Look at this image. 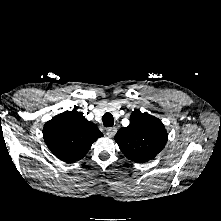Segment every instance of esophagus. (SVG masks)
I'll list each match as a JSON object with an SVG mask.
<instances>
[{
	"label": "esophagus",
	"mask_w": 221,
	"mask_h": 221,
	"mask_svg": "<svg viewBox=\"0 0 221 221\" xmlns=\"http://www.w3.org/2000/svg\"><path fill=\"white\" fill-rule=\"evenodd\" d=\"M116 132H117L116 128H108L106 130V135L111 138L116 134Z\"/></svg>",
	"instance_id": "34e87169"
}]
</instances>
